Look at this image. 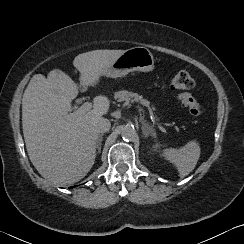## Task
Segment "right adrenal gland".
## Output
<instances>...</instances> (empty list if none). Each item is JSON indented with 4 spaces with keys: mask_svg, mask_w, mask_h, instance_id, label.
I'll return each instance as SVG.
<instances>
[{
    "mask_svg": "<svg viewBox=\"0 0 244 244\" xmlns=\"http://www.w3.org/2000/svg\"><path fill=\"white\" fill-rule=\"evenodd\" d=\"M102 140H103V133L100 134L98 136V139H97V144H96V148H97V153H100L101 152V144H102Z\"/></svg>",
    "mask_w": 244,
    "mask_h": 244,
    "instance_id": "2a0ac1e0",
    "label": "right adrenal gland"
}]
</instances>
